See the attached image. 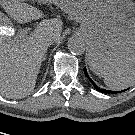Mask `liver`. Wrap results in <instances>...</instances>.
I'll list each match as a JSON object with an SVG mask.
<instances>
[{
	"label": "liver",
	"instance_id": "liver-1",
	"mask_svg": "<svg viewBox=\"0 0 135 135\" xmlns=\"http://www.w3.org/2000/svg\"><path fill=\"white\" fill-rule=\"evenodd\" d=\"M25 0H0V5L18 23H26L44 17L36 7ZM62 22L43 19L37 28L25 38L0 35V94L7 98H23L30 95L36 84L41 64L49 44L61 38Z\"/></svg>",
	"mask_w": 135,
	"mask_h": 135
}]
</instances>
